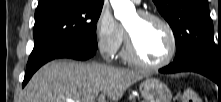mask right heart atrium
Masks as SVG:
<instances>
[{
  "instance_id": "right-heart-atrium-1",
  "label": "right heart atrium",
  "mask_w": 221,
  "mask_h": 102,
  "mask_svg": "<svg viewBox=\"0 0 221 102\" xmlns=\"http://www.w3.org/2000/svg\"><path fill=\"white\" fill-rule=\"evenodd\" d=\"M95 37L99 50L108 56L116 54L124 42L123 27L107 9H103L96 19Z\"/></svg>"
}]
</instances>
